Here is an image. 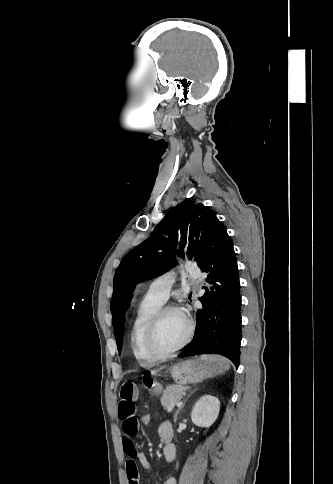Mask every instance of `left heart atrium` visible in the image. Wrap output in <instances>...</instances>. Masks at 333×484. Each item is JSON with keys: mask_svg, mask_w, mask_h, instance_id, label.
Wrapping results in <instances>:
<instances>
[{"mask_svg": "<svg viewBox=\"0 0 333 484\" xmlns=\"http://www.w3.org/2000/svg\"><path fill=\"white\" fill-rule=\"evenodd\" d=\"M180 313H181V315H182V316H184L185 318L187 317V316H186L185 311L181 310V311H180Z\"/></svg>", "mask_w": 333, "mask_h": 484, "instance_id": "left-heart-atrium-1", "label": "left heart atrium"}]
</instances>
